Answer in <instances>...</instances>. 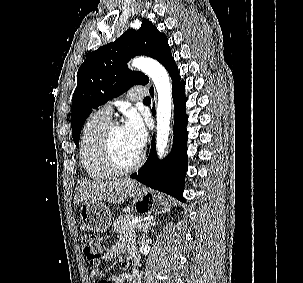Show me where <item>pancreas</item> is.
<instances>
[{"mask_svg": "<svg viewBox=\"0 0 303 283\" xmlns=\"http://www.w3.org/2000/svg\"><path fill=\"white\" fill-rule=\"evenodd\" d=\"M141 216L132 214L119 216L113 224L114 232L119 235L132 234L135 230H139V223H132L133 220H140Z\"/></svg>", "mask_w": 303, "mask_h": 283, "instance_id": "obj_1", "label": "pancreas"}]
</instances>
